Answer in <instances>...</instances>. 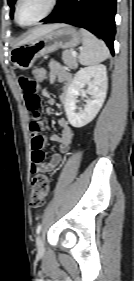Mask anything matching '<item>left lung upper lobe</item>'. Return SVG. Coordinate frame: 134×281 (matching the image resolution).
Returning a JSON list of instances; mask_svg holds the SVG:
<instances>
[{
	"mask_svg": "<svg viewBox=\"0 0 134 281\" xmlns=\"http://www.w3.org/2000/svg\"><path fill=\"white\" fill-rule=\"evenodd\" d=\"M16 2V0H8V4L11 7V12L10 15L13 16L14 13V3Z\"/></svg>",
	"mask_w": 134,
	"mask_h": 281,
	"instance_id": "1",
	"label": "left lung upper lobe"
}]
</instances>
